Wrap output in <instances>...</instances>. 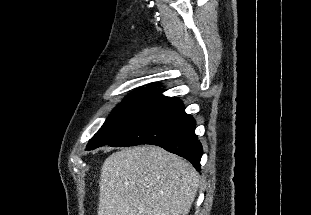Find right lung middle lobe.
<instances>
[{
	"label": "right lung middle lobe",
	"instance_id": "obj_1",
	"mask_svg": "<svg viewBox=\"0 0 311 215\" xmlns=\"http://www.w3.org/2000/svg\"><path fill=\"white\" fill-rule=\"evenodd\" d=\"M163 91V89L153 86L140 88L129 94L92 137L87 145V150L108 145L124 136L159 104L164 97Z\"/></svg>",
	"mask_w": 311,
	"mask_h": 215
}]
</instances>
